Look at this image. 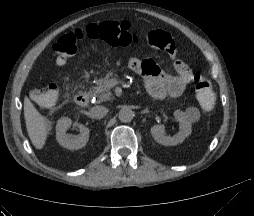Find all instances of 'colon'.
I'll list each match as a JSON object with an SVG mask.
<instances>
[{
  "label": "colon",
  "mask_w": 254,
  "mask_h": 216,
  "mask_svg": "<svg viewBox=\"0 0 254 216\" xmlns=\"http://www.w3.org/2000/svg\"><path fill=\"white\" fill-rule=\"evenodd\" d=\"M102 40L111 46H127L139 40V36L131 32L127 22H102L90 24L85 28L73 30L60 37L53 46V57L58 65L64 64L67 59L77 53L80 43L85 39ZM195 95L203 110L210 112L216 103V96L211 81L201 75L192 77ZM58 89L55 85H47L33 92L32 97L39 105L50 108L58 99Z\"/></svg>",
  "instance_id": "5ec220e1"
}]
</instances>
